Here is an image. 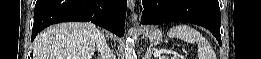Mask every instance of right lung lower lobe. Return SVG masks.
I'll use <instances>...</instances> for the list:
<instances>
[{"mask_svg":"<svg viewBox=\"0 0 261 59\" xmlns=\"http://www.w3.org/2000/svg\"><path fill=\"white\" fill-rule=\"evenodd\" d=\"M127 0H37L31 40L44 28L68 21H91L121 37Z\"/></svg>","mask_w":261,"mask_h":59,"instance_id":"right-lung-lower-lobe-1","label":"right lung lower lobe"}]
</instances>
